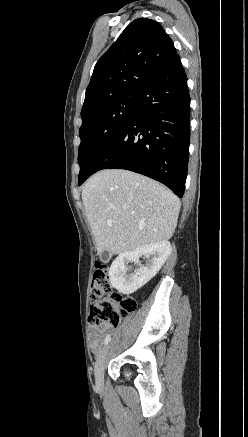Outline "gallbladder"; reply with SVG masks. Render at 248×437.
<instances>
[{
  "instance_id": "gallbladder-1",
  "label": "gallbladder",
  "mask_w": 248,
  "mask_h": 437,
  "mask_svg": "<svg viewBox=\"0 0 248 437\" xmlns=\"http://www.w3.org/2000/svg\"><path fill=\"white\" fill-rule=\"evenodd\" d=\"M110 254L107 251H104L103 253L100 254V259L102 261H107L109 259Z\"/></svg>"
}]
</instances>
